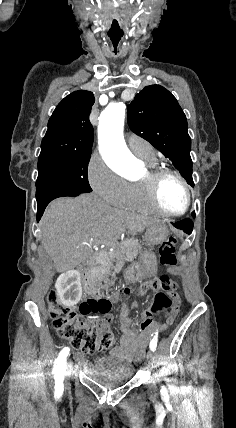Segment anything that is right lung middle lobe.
<instances>
[{"label": "right lung middle lobe", "instance_id": "dd1d6c3e", "mask_svg": "<svg viewBox=\"0 0 236 428\" xmlns=\"http://www.w3.org/2000/svg\"><path fill=\"white\" fill-rule=\"evenodd\" d=\"M91 154H40L37 204L62 196L91 192L87 167Z\"/></svg>", "mask_w": 236, "mask_h": 428}]
</instances>
